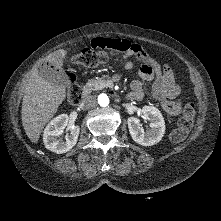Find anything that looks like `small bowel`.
<instances>
[{
  "instance_id": "small-bowel-1",
  "label": "small bowel",
  "mask_w": 221,
  "mask_h": 221,
  "mask_svg": "<svg viewBox=\"0 0 221 221\" xmlns=\"http://www.w3.org/2000/svg\"><path fill=\"white\" fill-rule=\"evenodd\" d=\"M94 49H110L121 52V64L125 69L134 65L133 58L142 63L139 78L131 82L135 100L144 97L143 85L151 83L152 96L159 101L162 109L169 115H178L182 111V103L178 100L180 87L174 74L168 66H161L153 57L144 51L140 45L126 39L95 38L91 41Z\"/></svg>"
}]
</instances>
